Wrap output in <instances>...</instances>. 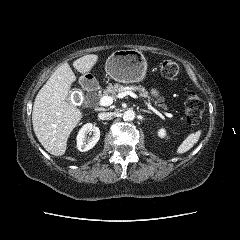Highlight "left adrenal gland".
Instances as JSON below:
<instances>
[{
  "mask_svg": "<svg viewBox=\"0 0 240 240\" xmlns=\"http://www.w3.org/2000/svg\"><path fill=\"white\" fill-rule=\"evenodd\" d=\"M142 111H143V112H146V113H150V114H152V112L149 111V110L142 109Z\"/></svg>",
  "mask_w": 240,
  "mask_h": 240,
  "instance_id": "obj_1",
  "label": "left adrenal gland"
}]
</instances>
